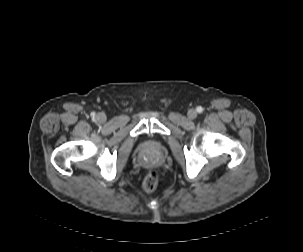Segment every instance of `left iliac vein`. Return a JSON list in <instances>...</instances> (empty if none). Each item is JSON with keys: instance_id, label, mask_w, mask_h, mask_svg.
I'll use <instances>...</instances> for the list:
<instances>
[{"instance_id": "left-iliac-vein-1", "label": "left iliac vein", "mask_w": 303, "mask_h": 252, "mask_svg": "<svg viewBox=\"0 0 303 252\" xmlns=\"http://www.w3.org/2000/svg\"><path fill=\"white\" fill-rule=\"evenodd\" d=\"M196 116H197V112H196L195 110H190V111L188 112V117H189L190 119H194V118H196Z\"/></svg>"}]
</instances>
